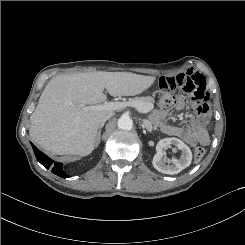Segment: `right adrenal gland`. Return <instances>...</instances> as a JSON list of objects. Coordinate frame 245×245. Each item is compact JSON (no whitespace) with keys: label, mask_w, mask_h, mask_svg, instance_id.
Wrapping results in <instances>:
<instances>
[{"label":"right adrenal gland","mask_w":245,"mask_h":245,"mask_svg":"<svg viewBox=\"0 0 245 245\" xmlns=\"http://www.w3.org/2000/svg\"><path fill=\"white\" fill-rule=\"evenodd\" d=\"M103 127V125H101L99 127V130H98V135H97V138H96V147L99 145L100 143V137H101V128Z\"/></svg>","instance_id":"1"}]
</instances>
